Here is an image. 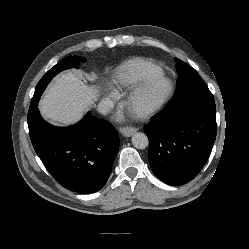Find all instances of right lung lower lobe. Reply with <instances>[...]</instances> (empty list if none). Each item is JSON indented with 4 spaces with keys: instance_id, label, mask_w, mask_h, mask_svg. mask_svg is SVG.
<instances>
[{
    "instance_id": "obj_1",
    "label": "right lung lower lobe",
    "mask_w": 249,
    "mask_h": 249,
    "mask_svg": "<svg viewBox=\"0 0 249 249\" xmlns=\"http://www.w3.org/2000/svg\"><path fill=\"white\" fill-rule=\"evenodd\" d=\"M40 96L34 93L27 122L33 147L44 166L69 190L79 193L100 190L110 176L119 148L117 131L90 112L73 126L54 127L39 113Z\"/></svg>"
}]
</instances>
